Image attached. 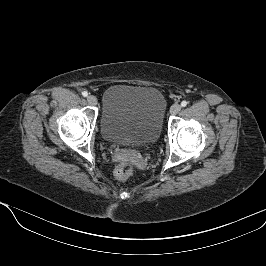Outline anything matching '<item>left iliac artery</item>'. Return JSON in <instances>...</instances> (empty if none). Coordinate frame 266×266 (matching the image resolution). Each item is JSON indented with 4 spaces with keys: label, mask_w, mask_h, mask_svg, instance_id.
Returning <instances> with one entry per match:
<instances>
[{
    "label": "left iliac artery",
    "mask_w": 266,
    "mask_h": 266,
    "mask_svg": "<svg viewBox=\"0 0 266 266\" xmlns=\"http://www.w3.org/2000/svg\"><path fill=\"white\" fill-rule=\"evenodd\" d=\"M181 106H182V107H186V106H187V101H185V100L182 101V102H181Z\"/></svg>",
    "instance_id": "obj_1"
}]
</instances>
